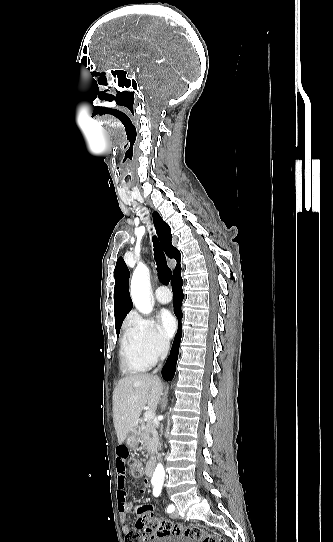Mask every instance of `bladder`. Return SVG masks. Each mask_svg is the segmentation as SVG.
I'll return each mask as SVG.
<instances>
[{
	"label": "bladder",
	"mask_w": 333,
	"mask_h": 542,
	"mask_svg": "<svg viewBox=\"0 0 333 542\" xmlns=\"http://www.w3.org/2000/svg\"><path fill=\"white\" fill-rule=\"evenodd\" d=\"M145 542H197V540L189 538L187 535L164 534L149 538Z\"/></svg>",
	"instance_id": "31cf9c89"
}]
</instances>
